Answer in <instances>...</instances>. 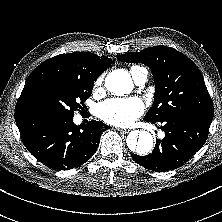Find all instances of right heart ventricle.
Masks as SVG:
<instances>
[{"label": "right heart ventricle", "instance_id": "1", "mask_svg": "<svg viewBox=\"0 0 222 222\" xmlns=\"http://www.w3.org/2000/svg\"><path fill=\"white\" fill-rule=\"evenodd\" d=\"M142 69H144V68L139 67V66H132V67L130 68V72H131L133 78H134L135 75L138 74Z\"/></svg>", "mask_w": 222, "mask_h": 222}]
</instances>
